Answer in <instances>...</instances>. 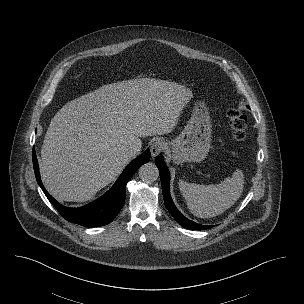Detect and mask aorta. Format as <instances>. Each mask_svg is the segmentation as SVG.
Wrapping results in <instances>:
<instances>
[{"mask_svg": "<svg viewBox=\"0 0 304 304\" xmlns=\"http://www.w3.org/2000/svg\"><path fill=\"white\" fill-rule=\"evenodd\" d=\"M139 177L143 182L152 183L159 177V171L155 164L146 163L139 169Z\"/></svg>", "mask_w": 304, "mask_h": 304, "instance_id": "aorta-1", "label": "aorta"}]
</instances>
